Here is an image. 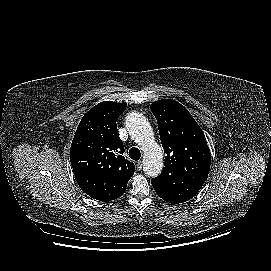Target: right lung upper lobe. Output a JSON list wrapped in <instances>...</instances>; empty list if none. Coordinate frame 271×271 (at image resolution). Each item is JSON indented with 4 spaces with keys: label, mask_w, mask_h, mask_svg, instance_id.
Masks as SVG:
<instances>
[{
    "label": "right lung upper lobe",
    "mask_w": 271,
    "mask_h": 271,
    "mask_svg": "<svg viewBox=\"0 0 271 271\" xmlns=\"http://www.w3.org/2000/svg\"><path fill=\"white\" fill-rule=\"evenodd\" d=\"M126 103L104 101L91 108L81 119L70 149L75 176H96L127 184L135 166L122 156L124 146L116 121Z\"/></svg>",
    "instance_id": "obj_1"
}]
</instances>
